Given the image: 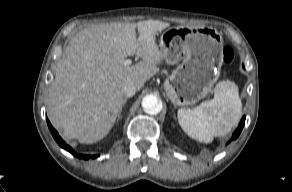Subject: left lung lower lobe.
<instances>
[{"instance_id":"0a47b994","label":"left lung lower lobe","mask_w":292,"mask_h":192,"mask_svg":"<svg viewBox=\"0 0 292 192\" xmlns=\"http://www.w3.org/2000/svg\"><path fill=\"white\" fill-rule=\"evenodd\" d=\"M244 123H245V116L241 119V122H240L238 128L235 130L233 137H232L233 139H236L239 136V134L241 133L242 128L244 126Z\"/></svg>"}]
</instances>
